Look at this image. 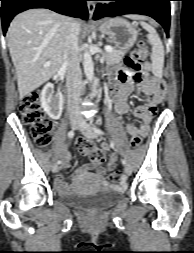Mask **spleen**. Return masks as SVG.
Masks as SVG:
<instances>
[{"mask_svg":"<svg viewBox=\"0 0 194 253\" xmlns=\"http://www.w3.org/2000/svg\"><path fill=\"white\" fill-rule=\"evenodd\" d=\"M141 26L148 32L147 39L152 46L151 62L153 74L161 78L164 66V47L156 30L145 22H140Z\"/></svg>","mask_w":194,"mask_h":253,"instance_id":"3e777b00","label":"spleen"}]
</instances>
